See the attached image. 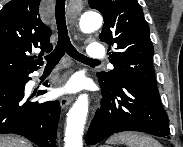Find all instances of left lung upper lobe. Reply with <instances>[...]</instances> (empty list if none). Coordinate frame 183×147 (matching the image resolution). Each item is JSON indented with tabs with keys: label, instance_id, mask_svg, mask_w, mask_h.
<instances>
[{
	"label": "left lung upper lobe",
	"instance_id": "obj_1",
	"mask_svg": "<svg viewBox=\"0 0 183 147\" xmlns=\"http://www.w3.org/2000/svg\"><path fill=\"white\" fill-rule=\"evenodd\" d=\"M89 5L104 18L100 40L114 45L109 52L114 69L98 72L99 83L113 87L121 79L132 78L156 84L152 64L154 48L139 3L136 0H89Z\"/></svg>",
	"mask_w": 183,
	"mask_h": 147
}]
</instances>
